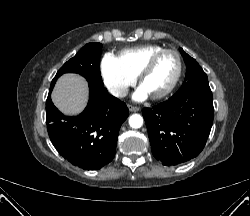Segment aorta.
I'll return each instance as SVG.
<instances>
[{
  "instance_id": "obj_1",
  "label": "aorta",
  "mask_w": 250,
  "mask_h": 216,
  "mask_svg": "<svg viewBox=\"0 0 250 216\" xmlns=\"http://www.w3.org/2000/svg\"><path fill=\"white\" fill-rule=\"evenodd\" d=\"M129 125L134 129H138L143 125V118L139 114H133L129 117Z\"/></svg>"
}]
</instances>
